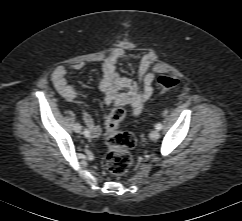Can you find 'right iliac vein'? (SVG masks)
I'll list each match as a JSON object with an SVG mask.
<instances>
[{
    "mask_svg": "<svg viewBox=\"0 0 242 221\" xmlns=\"http://www.w3.org/2000/svg\"><path fill=\"white\" fill-rule=\"evenodd\" d=\"M74 130H75V132L79 133L81 131V125L79 123H76L74 125Z\"/></svg>",
    "mask_w": 242,
    "mask_h": 221,
    "instance_id": "1",
    "label": "right iliac vein"
}]
</instances>
